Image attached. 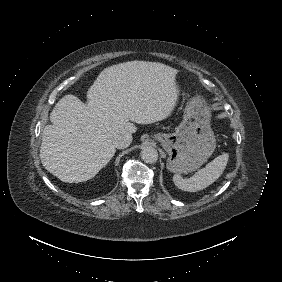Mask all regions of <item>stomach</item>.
Listing matches in <instances>:
<instances>
[{
	"instance_id": "1",
	"label": "stomach",
	"mask_w": 282,
	"mask_h": 282,
	"mask_svg": "<svg viewBox=\"0 0 282 282\" xmlns=\"http://www.w3.org/2000/svg\"><path fill=\"white\" fill-rule=\"evenodd\" d=\"M211 122L212 109L205 97L199 92L189 97L176 131L156 137L168 154L167 168L170 171L192 172L214 153L216 136Z\"/></svg>"
}]
</instances>
